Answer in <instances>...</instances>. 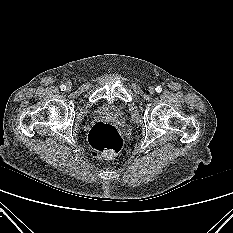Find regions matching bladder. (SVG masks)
Returning <instances> with one entry per match:
<instances>
[{
    "instance_id": "1",
    "label": "bladder",
    "mask_w": 233,
    "mask_h": 233,
    "mask_svg": "<svg viewBox=\"0 0 233 233\" xmlns=\"http://www.w3.org/2000/svg\"><path fill=\"white\" fill-rule=\"evenodd\" d=\"M108 113L113 114V115H119L121 111L118 108H110L107 110Z\"/></svg>"
}]
</instances>
